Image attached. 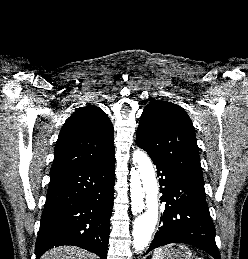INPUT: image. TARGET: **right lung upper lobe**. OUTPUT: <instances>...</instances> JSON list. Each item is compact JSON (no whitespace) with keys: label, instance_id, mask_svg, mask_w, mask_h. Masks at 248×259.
<instances>
[{"label":"right lung upper lobe","instance_id":"cb5924a9","mask_svg":"<svg viewBox=\"0 0 248 259\" xmlns=\"http://www.w3.org/2000/svg\"><path fill=\"white\" fill-rule=\"evenodd\" d=\"M113 133L102 109L94 105L79 108L60 131L50 173L105 160L115 152Z\"/></svg>","mask_w":248,"mask_h":259}]
</instances>
